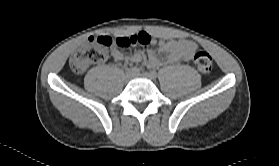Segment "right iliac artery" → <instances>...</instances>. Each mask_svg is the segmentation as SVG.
<instances>
[{"label": "right iliac artery", "mask_w": 279, "mask_h": 166, "mask_svg": "<svg viewBox=\"0 0 279 166\" xmlns=\"http://www.w3.org/2000/svg\"><path fill=\"white\" fill-rule=\"evenodd\" d=\"M131 71L134 73V74H138L140 72V69L137 68V67H133L131 68Z\"/></svg>", "instance_id": "obj_1"}]
</instances>
